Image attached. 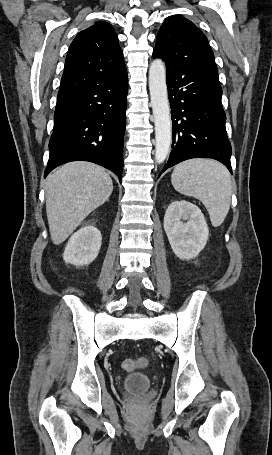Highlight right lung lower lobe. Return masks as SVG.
I'll use <instances>...</instances> for the list:
<instances>
[{
  "label": "right lung lower lobe",
  "instance_id": "obj_1",
  "mask_svg": "<svg viewBox=\"0 0 272 455\" xmlns=\"http://www.w3.org/2000/svg\"><path fill=\"white\" fill-rule=\"evenodd\" d=\"M127 92L126 73L58 96L44 177L61 164L84 160L111 170L121 181Z\"/></svg>",
  "mask_w": 272,
  "mask_h": 455
}]
</instances>
